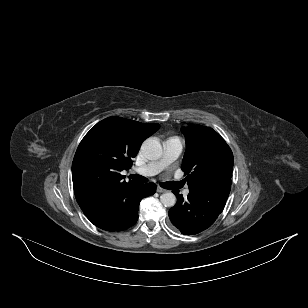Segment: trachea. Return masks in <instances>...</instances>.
Listing matches in <instances>:
<instances>
[{"mask_svg": "<svg viewBox=\"0 0 308 308\" xmlns=\"http://www.w3.org/2000/svg\"><path fill=\"white\" fill-rule=\"evenodd\" d=\"M130 178L133 179L134 181L138 182V183H146L148 181L146 177L138 175V174L131 175ZM161 186L163 188H167V184L166 183H162Z\"/></svg>", "mask_w": 308, "mask_h": 308, "instance_id": "3493384b", "label": "trachea"}]
</instances>
